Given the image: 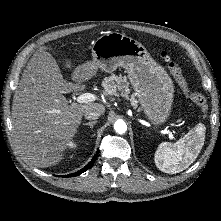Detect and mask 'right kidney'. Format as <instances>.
I'll list each match as a JSON object with an SVG mask.
<instances>
[{"label": "right kidney", "mask_w": 221, "mask_h": 221, "mask_svg": "<svg viewBox=\"0 0 221 221\" xmlns=\"http://www.w3.org/2000/svg\"><path fill=\"white\" fill-rule=\"evenodd\" d=\"M67 145L70 147H76V145H74L72 142H69Z\"/></svg>", "instance_id": "1"}]
</instances>
